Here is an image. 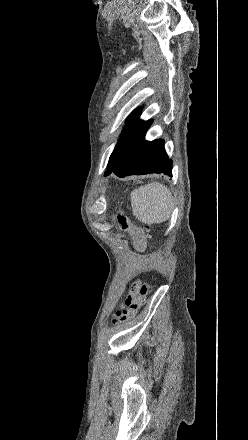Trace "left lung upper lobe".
Returning <instances> with one entry per match:
<instances>
[{"instance_id":"left-lung-upper-lobe-1","label":"left lung upper lobe","mask_w":248,"mask_h":440,"mask_svg":"<svg viewBox=\"0 0 248 440\" xmlns=\"http://www.w3.org/2000/svg\"><path fill=\"white\" fill-rule=\"evenodd\" d=\"M139 115L140 112L135 110L127 120V125L110 156L105 175H109L124 156L138 143L144 140L145 134L152 124V120L141 121L139 120Z\"/></svg>"}]
</instances>
